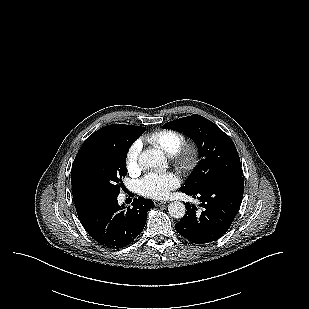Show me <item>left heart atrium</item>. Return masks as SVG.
Wrapping results in <instances>:
<instances>
[{
  "label": "left heart atrium",
  "mask_w": 309,
  "mask_h": 309,
  "mask_svg": "<svg viewBox=\"0 0 309 309\" xmlns=\"http://www.w3.org/2000/svg\"><path fill=\"white\" fill-rule=\"evenodd\" d=\"M179 183V177L172 172H151L139 181L138 191L145 197L161 199L166 197Z\"/></svg>",
  "instance_id": "left-heart-atrium-1"
}]
</instances>
